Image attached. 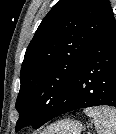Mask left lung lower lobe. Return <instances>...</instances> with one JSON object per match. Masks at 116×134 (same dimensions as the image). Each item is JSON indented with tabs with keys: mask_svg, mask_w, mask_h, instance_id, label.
Returning a JSON list of instances; mask_svg holds the SVG:
<instances>
[{
	"mask_svg": "<svg viewBox=\"0 0 116 134\" xmlns=\"http://www.w3.org/2000/svg\"><path fill=\"white\" fill-rule=\"evenodd\" d=\"M74 84L71 97L59 105L50 120L81 108L116 107V21L113 12L93 41Z\"/></svg>",
	"mask_w": 116,
	"mask_h": 134,
	"instance_id": "1",
	"label": "left lung lower lobe"
}]
</instances>
